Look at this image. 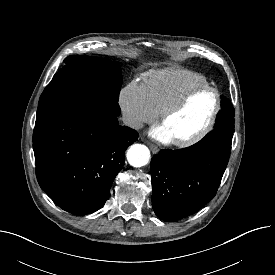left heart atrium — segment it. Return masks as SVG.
<instances>
[{
  "instance_id": "left-heart-atrium-1",
  "label": "left heart atrium",
  "mask_w": 275,
  "mask_h": 275,
  "mask_svg": "<svg viewBox=\"0 0 275 275\" xmlns=\"http://www.w3.org/2000/svg\"><path fill=\"white\" fill-rule=\"evenodd\" d=\"M151 135L154 138L161 140L163 142H169L172 140L170 135L168 134V132L166 131V129L163 126H158L155 129H153L151 131Z\"/></svg>"
}]
</instances>
